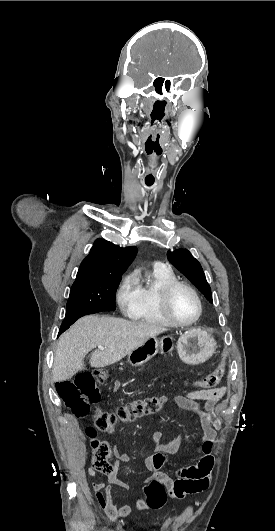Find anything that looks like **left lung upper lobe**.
I'll list each match as a JSON object with an SVG mask.
<instances>
[{"instance_id":"5c2ea615","label":"left lung upper lobe","mask_w":275,"mask_h":531,"mask_svg":"<svg viewBox=\"0 0 275 531\" xmlns=\"http://www.w3.org/2000/svg\"><path fill=\"white\" fill-rule=\"evenodd\" d=\"M168 260L181 273H183L198 289L204 294L206 299L212 303L211 288L206 281L205 274L200 263L186 249H177L167 252Z\"/></svg>"}]
</instances>
